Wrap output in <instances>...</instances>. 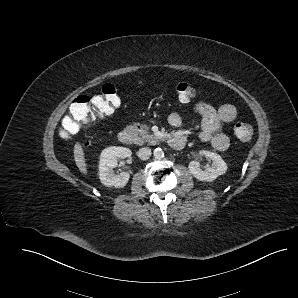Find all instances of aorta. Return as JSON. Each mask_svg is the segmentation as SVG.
<instances>
[{
    "mask_svg": "<svg viewBox=\"0 0 298 298\" xmlns=\"http://www.w3.org/2000/svg\"><path fill=\"white\" fill-rule=\"evenodd\" d=\"M153 155L156 159H161L164 157V152L161 148H156L153 151Z\"/></svg>",
    "mask_w": 298,
    "mask_h": 298,
    "instance_id": "obj_1",
    "label": "aorta"
}]
</instances>
